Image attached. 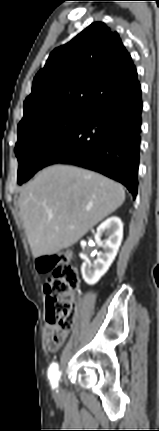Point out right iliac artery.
I'll return each mask as SVG.
<instances>
[{"mask_svg": "<svg viewBox=\"0 0 159 431\" xmlns=\"http://www.w3.org/2000/svg\"><path fill=\"white\" fill-rule=\"evenodd\" d=\"M48 377L51 381V386L52 388H56L58 385V381L60 378V373L58 370V364L57 363H52L49 367V371H48Z\"/></svg>", "mask_w": 159, "mask_h": 431, "instance_id": "1", "label": "right iliac artery"}]
</instances>
